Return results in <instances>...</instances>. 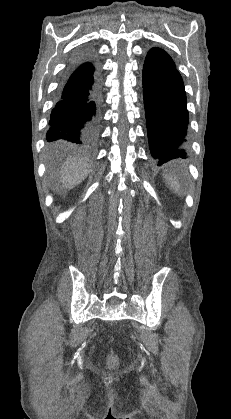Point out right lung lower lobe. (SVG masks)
<instances>
[{
  "label": "right lung lower lobe",
  "mask_w": 231,
  "mask_h": 419,
  "mask_svg": "<svg viewBox=\"0 0 231 419\" xmlns=\"http://www.w3.org/2000/svg\"><path fill=\"white\" fill-rule=\"evenodd\" d=\"M94 66L85 60L72 62L51 112L47 141L89 148L97 139L100 90Z\"/></svg>",
  "instance_id": "obj_1"
}]
</instances>
